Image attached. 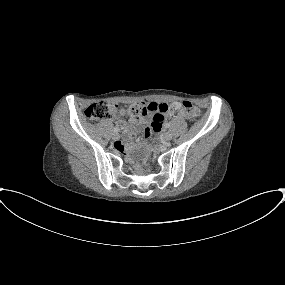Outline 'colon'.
Here are the masks:
<instances>
[{"instance_id": "1", "label": "colon", "mask_w": 285, "mask_h": 285, "mask_svg": "<svg viewBox=\"0 0 285 285\" xmlns=\"http://www.w3.org/2000/svg\"><path fill=\"white\" fill-rule=\"evenodd\" d=\"M145 114H147V108L142 104H135L127 107L104 101L93 103L85 110V115L90 120H108L115 118L123 121L130 117ZM181 115L193 118L198 115V109L189 101L172 103L163 108L164 119ZM138 171H141V169H138Z\"/></svg>"}]
</instances>
